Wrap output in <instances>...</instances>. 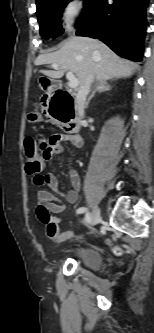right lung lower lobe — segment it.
<instances>
[{"instance_id":"98d812e1","label":"right lung lower lobe","mask_w":154,"mask_h":333,"mask_svg":"<svg viewBox=\"0 0 154 333\" xmlns=\"http://www.w3.org/2000/svg\"><path fill=\"white\" fill-rule=\"evenodd\" d=\"M149 0H96L77 35L98 38L124 58L141 61Z\"/></svg>"}]
</instances>
